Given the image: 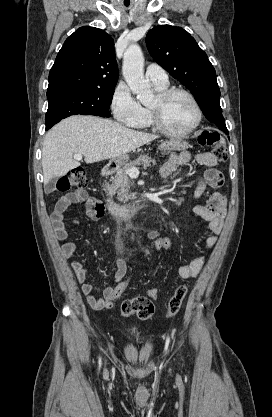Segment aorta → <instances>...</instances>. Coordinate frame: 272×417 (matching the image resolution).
<instances>
[{
	"instance_id": "obj_1",
	"label": "aorta",
	"mask_w": 272,
	"mask_h": 417,
	"mask_svg": "<svg viewBox=\"0 0 272 417\" xmlns=\"http://www.w3.org/2000/svg\"><path fill=\"white\" fill-rule=\"evenodd\" d=\"M143 67L142 50L138 44L133 43L124 53L122 72L131 91L137 95V99L147 105L153 100L154 95L149 81L144 77Z\"/></svg>"
}]
</instances>
